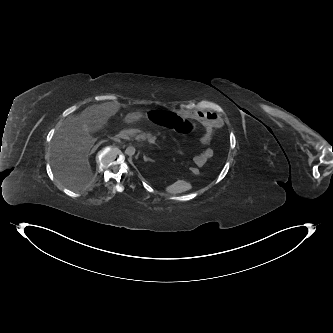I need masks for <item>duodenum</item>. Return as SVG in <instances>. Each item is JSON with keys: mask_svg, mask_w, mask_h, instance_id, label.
<instances>
[{"mask_svg": "<svg viewBox=\"0 0 333 333\" xmlns=\"http://www.w3.org/2000/svg\"><path fill=\"white\" fill-rule=\"evenodd\" d=\"M128 134H139V129H123L120 131V136H125Z\"/></svg>", "mask_w": 333, "mask_h": 333, "instance_id": "1", "label": "duodenum"}]
</instances>
